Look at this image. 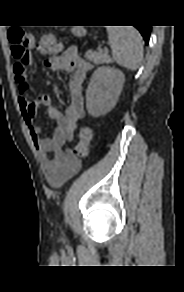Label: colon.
<instances>
[{"instance_id": "5ec220e1", "label": "colon", "mask_w": 184, "mask_h": 292, "mask_svg": "<svg viewBox=\"0 0 184 292\" xmlns=\"http://www.w3.org/2000/svg\"><path fill=\"white\" fill-rule=\"evenodd\" d=\"M8 38L12 46L13 57L17 61L25 63L28 60V48L30 47L32 38L23 29L17 27L9 29ZM37 48L43 55H54L60 51L61 44L53 33L47 32L41 36ZM92 136L91 128L83 127L80 130L79 142L74 149L75 156H87Z\"/></svg>"}]
</instances>
